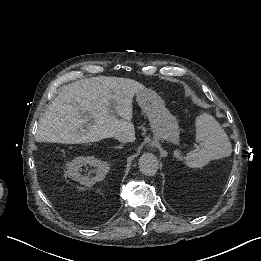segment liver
Here are the masks:
<instances>
[{"label": "liver", "mask_w": 261, "mask_h": 261, "mask_svg": "<svg viewBox=\"0 0 261 261\" xmlns=\"http://www.w3.org/2000/svg\"><path fill=\"white\" fill-rule=\"evenodd\" d=\"M143 91V84L126 78L95 77L71 83L61 89L40 119L36 138L61 144L106 138L134 142L133 102ZM86 123L89 125L83 129Z\"/></svg>", "instance_id": "liver-1"}]
</instances>
